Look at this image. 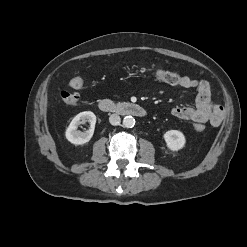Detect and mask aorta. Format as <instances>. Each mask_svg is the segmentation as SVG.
<instances>
[{"instance_id":"aorta-1","label":"aorta","mask_w":247,"mask_h":247,"mask_svg":"<svg viewBox=\"0 0 247 247\" xmlns=\"http://www.w3.org/2000/svg\"><path fill=\"white\" fill-rule=\"evenodd\" d=\"M135 125V119L132 116H126L123 119V126L125 128H132Z\"/></svg>"}]
</instances>
